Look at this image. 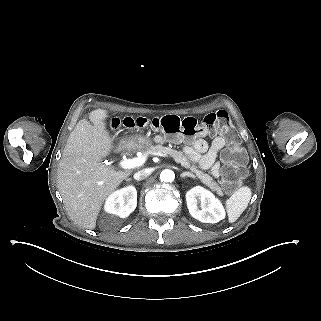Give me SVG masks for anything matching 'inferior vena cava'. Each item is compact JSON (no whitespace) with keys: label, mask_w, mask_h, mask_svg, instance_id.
<instances>
[{"label":"inferior vena cava","mask_w":321,"mask_h":321,"mask_svg":"<svg viewBox=\"0 0 321 321\" xmlns=\"http://www.w3.org/2000/svg\"><path fill=\"white\" fill-rule=\"evenodd\" d=\"M150 175H151V169L145 168V169H142V170L136 172L134 174V179L140 181V180H143V179L149 177Z\"/></svg>","instance_id":"1"}]
</instances>
